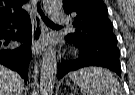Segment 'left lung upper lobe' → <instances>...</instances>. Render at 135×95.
Returning <instances> with one entry per match:
<instances>
[{"mask_svg": "<svg viewBox=\"0 0 135 95\" xmlns=\"http://www.w3.org/2000/svg\"><path fill=\"white\" fill-rule=\"evenodd\" d=\"M64 11L76 16L72 23L75 29L67 34L66 39L80 44L97 40L117 42L103 0H64Z\"/></svg>", "mask_w": 135, "mask_h": 95, "instance_id": "1", "label": "left lung upper lobe"}]
</instances>
